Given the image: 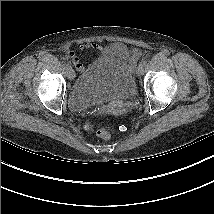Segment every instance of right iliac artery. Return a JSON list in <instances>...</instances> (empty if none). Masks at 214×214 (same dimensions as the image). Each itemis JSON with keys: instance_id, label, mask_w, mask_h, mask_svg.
Wrapping results in <instances>:
<instances>
[{"instance_id": "82829eb1", "label": "right iliac artery", "mask_w": 214, "mask_h": 214, "mask_svg": "<svg viewBox=\"0 0 214 214\" xmlns=\"http://www.w3.org/2000/svg\"><path fill=\"white\" fill-rule=\"evenodd\" d=\"M65 65L67 66V67H69V63L67 62V63H65Z\"/></svg>"}]
</instances>
